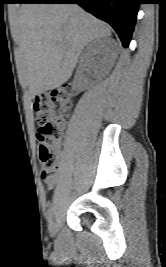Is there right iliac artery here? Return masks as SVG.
<instances>
[{
  "label": "right iliac artery",
  "instance_id": "obj_1",
  "mask_svg": "<svg viewBox=\"0 0 166 267\" xmlns=\"http://www.w3.org/2000/svg\"><path fill=\"white\" fill-rule=\"evenodd\" d=\"M53 215H54V208L51 207L48 211V215H47V220L49 223L52 222V219H53Z\"/></svg>",
  "mask_w": 166,
  "mask_h": 267
}]
</instances>
